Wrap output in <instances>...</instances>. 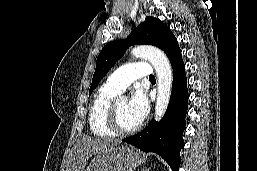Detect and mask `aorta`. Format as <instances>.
Returning <instances> with one entry per match:
<instances>
[{
    "label": "aorta",
    "mask_w": 257,
    "mask_h": 171,
    "mask_svg": "<svg viewBox=\"0 0 257 171\" xmlns=\"http://www.w3.org/2000/svg\"><path fill=\"white\" fill-rule=\"evenodd\" d=\"M131 54L147 59L154 67L157 75L158 93L155 106V119L160 120L168 107L172 89V69L167 56L158 48L148 45L137 46Z\"/></svg>",
    "instance_id": "762f6f07"
}]
</instances>
